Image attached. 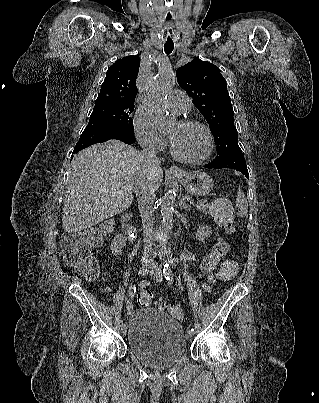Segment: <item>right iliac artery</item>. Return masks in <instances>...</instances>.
Here are the masks:
<instances>
[{"instance_id":"1","label":"right iliac artery","mask_w":319,"mask_h":403,"mask_svg":"<svg viewBox=\"0 0 319 403\" xmlns=\"http://www.w3.org/2000/svg\"><path fill=\"white\" fill-rule=\"evenodd\" d=\"M145 284H146V282L142 281V283H140V286H145ZM135 292H136V287L133 285V286L130 287V296L133 297ZM123 326H125V324L122 323L121 327H123Z\"/></svg>"}]
</instances>
